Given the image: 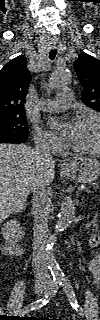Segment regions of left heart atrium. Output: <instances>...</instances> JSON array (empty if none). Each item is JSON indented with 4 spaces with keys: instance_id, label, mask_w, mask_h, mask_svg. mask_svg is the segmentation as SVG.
Masks as SVG:
<instances>
[{
    "instance_id": "39dd6f15",
    "label": "left heart atrium",
    "mask_w": 100,
    "mask_h": 320,
    "mask_svg": "<svg viewBox=\"0 0 100 320\" xmlns=\"http://www.w3.org/2000/svg\"><path fill=\"white\" fill-rule=\"evenodd\" d=\"M50 125H51V127H52L55 131H59V130L61 129V124H60V122L57 121V120H52V121L50 122ZM75 125H76V124H74V123L68 125V127H67V129H66V131H65V135H66L69 139H70L71 136H72V133H73L74 128H75Z\"/></svg>"
}]
</instances>
